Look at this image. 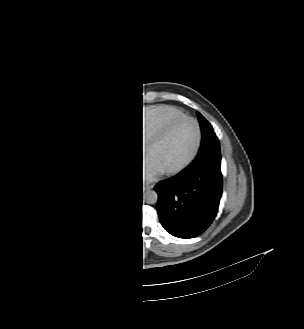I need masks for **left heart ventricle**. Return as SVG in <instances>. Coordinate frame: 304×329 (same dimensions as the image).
<instances>
[{"label":"left heart ventricle","mask_w":304,"mask_h":329,"mask_svg":"<svg viewBox=\"0 0 304 329\" xmlns=\"http://www.w3.org/2000/svg\"><path fill=\"white\" fill-rule=\"evenodd\" d=\"M197 140V129L190 120L173 126L168 136L149 152L147 159L161 171L175 168L191 154Z\"/></svg>","instance_id":"b2bd125f"}]
</instances>
